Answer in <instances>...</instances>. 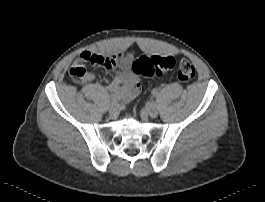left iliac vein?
<instances>
[{
	"instance_id": "obj_1",
	"label": "left iliac vein",
	"mask_w": 265,
	"mask_h": 202,
	"mask_svg": "<svg viewBox=\"0 0 265 202\" xmlns=\"http://www.w3.org/2000/svg\"><path fill=\"white\" fill-rule=\"evenodd\" d=\"M145 111L146 113L151 117V118H155L158 114L157 111V106L155 103L150 102L146 107H145Z\"/></svg>"
}]
</instances>
